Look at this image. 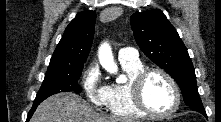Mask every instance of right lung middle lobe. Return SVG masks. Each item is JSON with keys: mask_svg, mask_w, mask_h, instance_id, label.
Returning a JSON list of instances; mask_svg holds the SVG:
<instances>
[{"mask_svg": "<svg viewBox=\"0 0 221 122\" xmlns=\"http://www.w3.org/2000/svg\"><path fill=\"white\" fill-rule=\"evenodd\" d=\"M84 64L78 65H49L44 81L34 103H41L49 96L60 93L75 91L80 93L78 80L81 76Z\"/></svg>", "mask_w": 221, "mask_h": 122, "instance_id": "right-lung-middle-lobe-1", "label": "right lung middle lobe"}]
</instances>
